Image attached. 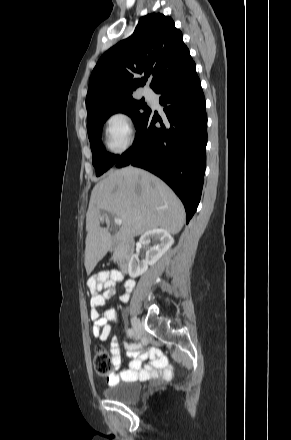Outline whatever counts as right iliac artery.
I'll return each instance as SVG.
<instances>
[{"label": "right iliac artery", "mask_w": 291, "mask_h": 440, "mask_svg": "<svg viewBox=\"0 0 291 440\" xmlns=\"http://www.w3.org/2000/svg\"><path fill=\"white\" fill-rule=\"evenodd\" d=\"M127 334H128L129 337H132L134 332H133L132 329H128Z\"/></svg>", "instance_id": "right-iliac-artery-1"}]
</instances>
